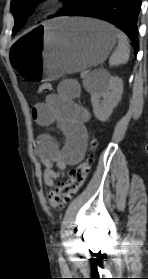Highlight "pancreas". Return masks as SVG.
I'll return each mask as SVG.
<instances>
[{"mask_svg":"<svg viewBox=\"0 0 148 279\" xmlns=\"http://www.w3.org/2000/svg\"><path fill=\"white\" fill-rule=\"evenodd\" d=\"M85 75L83 74V72L81 73V77L83 78Z\"/></svg>","mask_w":148,"mask_h":279,"instance_id":"pancreas-1","label":"pancreas"}]
</instances>
